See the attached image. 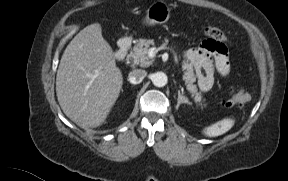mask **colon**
Segmentation results:
<instances>
[{"label":"colon","instance_id":"colon-1","mask_svg":"<svg viewBox=\"0 0 288 181\" xmlns=\"http://www.w3.org/2000/svg\"><path fill=\"white\" fill-rule=\"evenodd\" d=\"M207 33L210 36V39L206 42L208 46L214 48L217 51H224V43L226 41V37L223 31L218 28H210L208 29ZM241 95L242 92L240 90L232 89L228 98L225 100V104L229 106L233 105L240 99Z\"/></svg>","mask_w":288,"mask_h":181}]
</instances>
